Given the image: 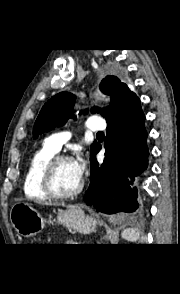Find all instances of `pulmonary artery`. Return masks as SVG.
Here are the masks:
<instances>
[{
  "label": "pulmonary artery",
  "instance_id": "e3ab8cb5",
  "mask_svg": "<svg viewBox=\"0 0 180 294\" xmlns=\"http://www.w3.org/2000/svg\"><path fill=\"white\" fill-rule=\"evenodd\" d=\"M106 128L105 121L99 116L90 117L87 124V129L90 131L104 130ZM70 138L69 133H58L49 136L45 140V145L59 152L65 142Z\"/></svg>",
  "mask_w": 180,
  "mask_h": 294
}]
</instances>
